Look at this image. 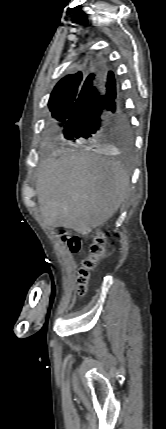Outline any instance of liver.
I'll return each instance as SVG.
<instances>
[{
    "label": "liver",
    "mask_w": 166,
    "mask_h": 429,
    "mask_svg": "<svg viewBox=\"0 0 166 429\" xmlns=\"http://www.w3.org/2000/svg\"><path fill=\"white\" fill-rule=\"evenodd\" d=\"M130 178L115 160L64 153L40 163L36 193L46 224L87 235L106 223L128 195Z\"/></svg>",
    "instance_id": "obj_1"
}]
</instances>
